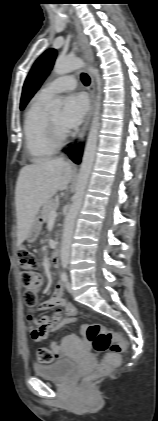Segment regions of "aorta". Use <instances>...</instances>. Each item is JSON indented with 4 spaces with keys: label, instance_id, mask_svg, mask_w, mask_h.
<instances>
[{
    "label": "aorta",
    "instance_id": "aorta-1",
    "mask_svg": "<svg viewBox=\"0 0 158 421\" xmlns=\"http://www.w3.org/2000/svg\"><path fill=\"white\" fill-rule=\"evenodd\" d=\"M85 67V63L79 58H58L55 61L53 72L56 75H64L69 72H72L77 69H81ZM88 71L92 73L97 82V96H96V104L93 113V118L87 138V143L85 147V151L83 154L82 164L78 175V181L76 185V192L73 197V202L70 206L69 212L65 217L64 220V228H63V235H62V242H61V262L67 263L70 256V248L74 230V224L78 212L82 206L85 189L88 183V179L92 170L96 147H97V139H98V130H99V116H100V109H101V78L97 69L92 67L88 68ZM49 107L52 110H59L61 108V101L58 99H54L49 104Z\"/></svg>",
    "mask_w": 158,
    "mask_h": 421
}]
</instances>
